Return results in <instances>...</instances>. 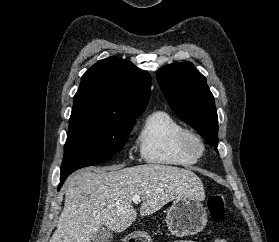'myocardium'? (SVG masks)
Listing matches in <instances>:
<instances>
[{"instance_id":"obj_1","label":"myocardium","mask_w":279,"mask_h":242,"mask_svg":"<svg viewBox=\"0 0 279 242\" xmlns=\"http://www.w3.org/2000/svg\"><path fill=\"white\" fill-rule=\"evenodd\" d=\"M181 148L188 154L199 158L203 155L205 145L203 139L194 131L183 129L180 134Z\"/></svg>"}]
</instances>
